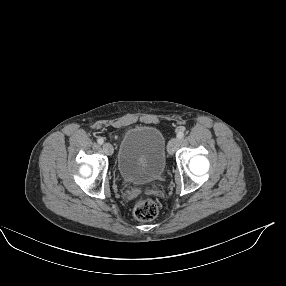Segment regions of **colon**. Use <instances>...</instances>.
Returning a JSON list of instances; mask_svg holds the SVG:
<instances>
[{"instance_id":"1","label":"colon","mask_w":286,"mask_h":286,"mask_svg":"<svg viewBox=\"0 0 286 286\" xmlns=\"http://www.w3.org/2000/svg\"><path fill=\"white\" fill-rule=\"evenodd\" d=\"M133 214L141 221L153 220L158 214V205L150 199H138L133 205Z\"/></svg>"}]
</instances>
